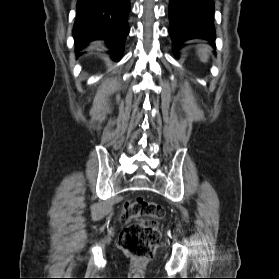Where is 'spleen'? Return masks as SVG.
I'll list each match as a JSON object with an SVG mask.
<instances>
[{
    "instance_id": "1",
    "label": "spleen",
    "mask_w": 279,
    "mask_h": 279,
    "mask_svg": "<svg viewBox=\"0 0 279 279\" xmlns=\"http://www.w3.org/2000/svg\"><path fill=\"white\" fill-rule=\"evenodd\" d=\"M197 52H198V56H199L200 60L202 62L206 63L209 59L211 47L206 44H201V45H199Z\"/></svg>"
}]
</instances>
